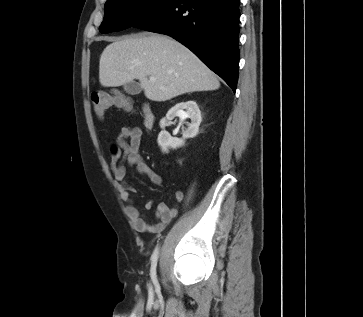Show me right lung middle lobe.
Masks as SVG:
<instances>
[{"instance_id": "1", "label": "right lung middle lobe", "mask_w": 363, "mask_h": 317, "mask_svg": "<svg viewBox=\"0 0 363 317\" xmlns=\"http://www.w3.org/2000/svg\"><path fill=\"white\" fill-rule=\"evenodd\" d=\"M177 0H107L105 16L99 28L109 33L134 27L168 9Z\"/></svg>"}]
</instances>
